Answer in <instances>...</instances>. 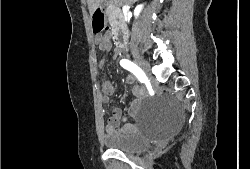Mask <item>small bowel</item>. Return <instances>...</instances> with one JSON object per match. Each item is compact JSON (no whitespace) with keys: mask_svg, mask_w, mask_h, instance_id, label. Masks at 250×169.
I'll return each mask as SVG.
<instances>
[{"mask_svg":"<svg viewBox=\"0 0 250 169\" xmlns=\"http://www.w3.org/2000/svg\"><path fill=\"white\" fill-rule=\"evenodd\" d=\"M95 42L98 45L99 49L102 51H109L111 47L110 39L107 35H97L95 37ZM103 64V61L101 62ZM125 81L129 85H133L132 87V96L133 101L131 105V111L133 112L135 109L139 108L142 100L145 97V90L143 87L136 85V77L132 74L127 75ZM103 94H104V102H109L110 98L113 96L115 92V87L113 82L110 79H104L102 83ZM123 119V113L120 108H114L111 113V117L108 120L107 128L108 131L112 134L121 131L122 133L128 134L134 130V125L131 123L125 124L123 127L119 128V123Z\"/></svg>","mask_w":250,"mask_h":169,"instance_id":"small-bowel-1","label":"small bowel"}]
</instances>
